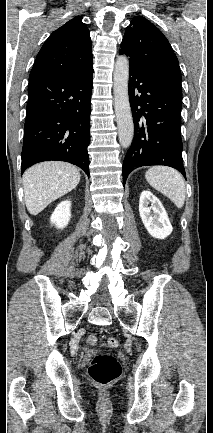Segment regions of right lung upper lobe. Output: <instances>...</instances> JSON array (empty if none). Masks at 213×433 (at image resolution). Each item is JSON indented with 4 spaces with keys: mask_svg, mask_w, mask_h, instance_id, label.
<instances>
[{
    "mask_svg": "<svg viewBox=\"0 0 213 433\" xmlns=\"http://www.w3.org/2000/svg\"><path fill=\"white\" fill-rule=\"evenodd\" d=\"M93 64L89 29L76 16L54 31L40 49L29 79L64 78Z\"/></svg>",
    "mask_w": 213,
    "mask_h": 433,
    "instance_id": "right-lung-upper-lobe-1",
    "label": "right lung upper lobe"
}]
</instances>
